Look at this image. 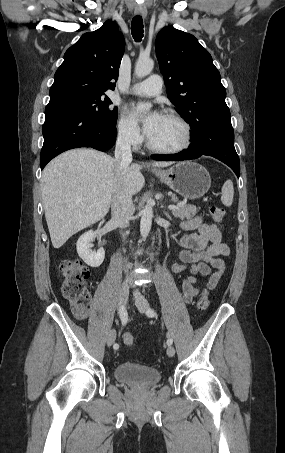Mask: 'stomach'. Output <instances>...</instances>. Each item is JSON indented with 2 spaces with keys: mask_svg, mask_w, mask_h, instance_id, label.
Listing matches in <instances>:
<instances>
[{
  "mask_svg": "<svg viewBox=\"0 0 285 453\" xmlns=\"http://www.w3.org/2000/svg\"><path fill=\"white\" fill-rule=\"evenodd\" d=\"M153 172L170 189L185 199L201 198L211 187L209 172L196 162H179L169 169Z\"/></svg>",
  "mask_w": 285,
  "mask_h": 453,
  "instance_id": "1",
  "label": "stomach"
}]
</instances>
